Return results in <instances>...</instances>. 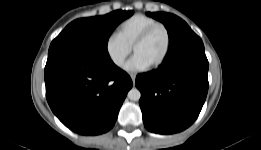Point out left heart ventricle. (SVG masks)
<instances>
[{
    "instance_id": "b2bd125f",
    "label": "left heart ventricle",
    "mask_w": 261,
    "mask_h": 150,
    "mask_svg": "<svg viewBox=\"0 0 261 150\" xmlns=\"http://www.w3.org/2000/svg\"><path fill=\"white\" fill-rule=\"evenodd\" d=\"M165 48V32L162 29H157L145 42L136 48L135 54L142 57L151 66L162 57Z\"/></svg>"
}]
</instances>
